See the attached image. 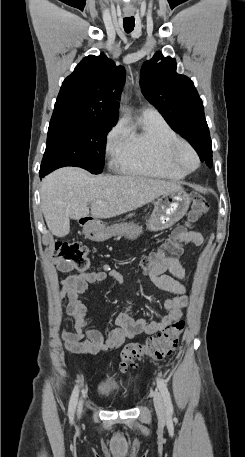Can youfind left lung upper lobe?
Wrapping results in <instances>:
<instances>
[{"instance_id": "obj_1", "label": "left lung upper lobe", "mask_w": 245, "mask_h": 457, "mask_svg": "<svg viewBox=\"0 0 245 457\" xmlns=\"http://www.w3.org/2000/svg\"><path fill=\"white\" fill-rule=\"evenodd\" d=\"M140 87L145 98L162 114L171 128L186 138L198 151L211 140L203 102L193 82L176 73V61L157 52L143 63Z\"/></svg>"}]
</instances>
